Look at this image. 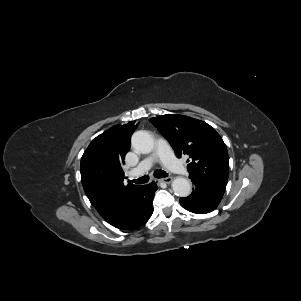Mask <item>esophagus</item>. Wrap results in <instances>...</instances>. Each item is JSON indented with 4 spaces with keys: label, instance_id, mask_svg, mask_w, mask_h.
Returning a JSON list of instances; mask_svg holds the SVG:
<instances>
[{
    "label": "esophagus",
    "instance_id": "esophagus-1",
    "mask_svg": "<svg viewBox=\"0 0 301 301\" xmlns=\"http://www.w3.org/2000/svg\"><path fill=\"white\" fill-rule=\"evenodd\" d=\"M159 182L170 184L172 182V178L171 177H166V178L160 179Z\"/></svg>",
    "mask_w": 301,
    "mask_h": 301
}]
</instances>
